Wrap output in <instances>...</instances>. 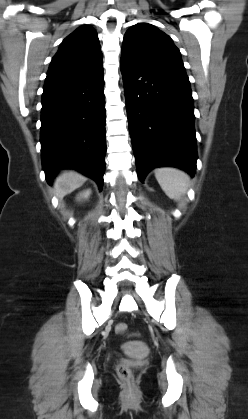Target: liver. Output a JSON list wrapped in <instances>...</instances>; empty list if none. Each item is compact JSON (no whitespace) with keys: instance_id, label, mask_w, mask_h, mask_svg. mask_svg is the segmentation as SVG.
Returning <instances> with one entry per match:
<instances>
[{"instance_id":"1","label":"liver","mask_w":248,"mask_h":419,"mask_svg":"<svg viewBox=\"0 0 248 419\" xmlns=\"http://www.w3.org/2000/svg\"><path fill=\"white\" fill-rule=\"evenodd\" d=\"M85 181L86 177L75 171H63L54 182L55 193L59 198H62L82 186Z\"/></svg>"}]
</instances>
